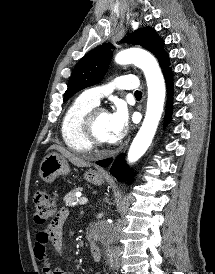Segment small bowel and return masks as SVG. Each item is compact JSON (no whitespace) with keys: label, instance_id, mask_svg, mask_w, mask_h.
<instances>
[{"label":"small bowel","instance_id":"c3829d8e","mask_svg":"<svg viewBox=\"0 0 215 274\" xmlns=\"http://www.w3.org/2000/svg\"><path fill=\"white\" fill-rule=\"evenodd\" d=\"M68 218V211L61 209L49 226L38 232L34 246V254L42 265L45 274H71L60 268L53 267L51 257L48 253V246L60 254L63 249L62 226Z\"/></svg>","mask_w":215,"mask_h":274}]
</instances>
